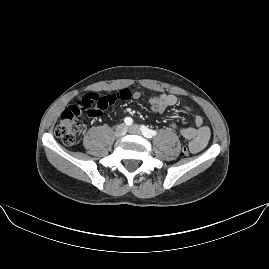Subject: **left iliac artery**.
Instances as JSON below:
<instances>
[{
  "mask_svg": "<svg viewBox=\"0 0 269 269\" xmlns=\"http://www.w3.org/2000/svg\"><path fill=\"white\" fill-rule=\"evenodd\" d=\"M141 132L146 138H152L157 134L156 131L149 129L144 125H141Z\"/></svg>",
  "mask_w": 269,
  "mask_h": 269,
  "instance_id": "1",
  "label": "left iliac artery"
}]
</instances>
